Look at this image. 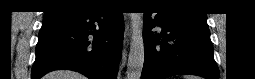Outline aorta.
Here are the masks:
<instances>
[{"mask_svg":"<svg viewBox=\"0 0 255 79\" xmlns=\"http://www.w3.org/2000/svg\"><path fill=\"white\" fill-rule=\"evenodd\" d=\"M131 20L133 32L126 74L127 79H140L145 56L141 14L132 13Z\"/></svg>","mask_w":255,"mask_h":79,"instance_id":"obj_1","label":"aorta"}]
</instances>
